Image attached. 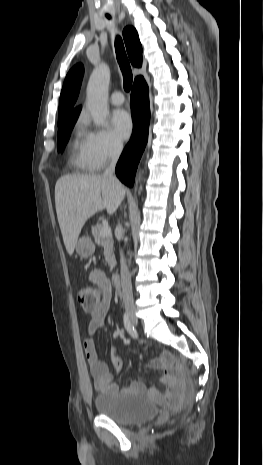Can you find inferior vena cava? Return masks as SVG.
<instances>
[{"instance_id": "602c4592", "label": "inferior vena cava", "mask_w": 263, "mask_h": 465, "mask_svg": "<svg viewBox=\"0 0 263 465\" xmlns=\"http://www.w3.org/2000/svg\"><path fill=\"white\" fill-rule=\"evenodd\" d=\"M122 143L115 142L112 152H111V163L106 168L103 173V177L109 179L112 183L116 186H121L120 181L115 176V166L118 161V158L122 151ZM116 231L119 233H123V228L120 224H118ZM120 275H121V286H122V296L123 302L126 309H133L134 308V300H133V293H132V284H131V276L126 265V260L123 254V251H120Z\"/></svg>"}]
</instances>
